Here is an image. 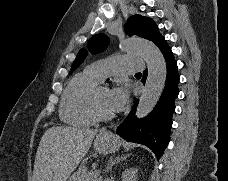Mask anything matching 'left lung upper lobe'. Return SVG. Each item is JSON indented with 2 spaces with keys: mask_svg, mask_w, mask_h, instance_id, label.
Wrapping results in <instances>:
<instances>
[{
  "mask_svg": "<svg viewBox=\"0 0 228 181\" xmlns=\"http://www.w3.org/2000/svg\"><path fill=\"white\" fill-rule=\"evenodd\" d=\"M125 32L129 36L139 37L152 41L155 45L164 37L158 31L157 25L148 17L134 15L130 17L125 25ZM109 38L104 34H97L90 38L87 47L90 53H99L106 49ZM87 51L81 49L73 62L70 73H72L85 59Z\"/></svg>",
  "mask_w": 228,
  "mask_h": 181,
  "instance_id": "1",
  "label": "left lung upper lobe"
}]
</instances>
